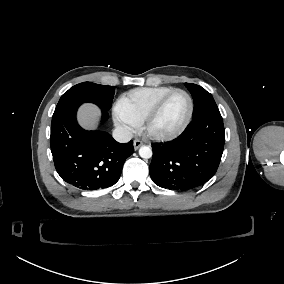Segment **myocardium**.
Listing matches in <instances>:
<instances>
[{"label":"myocardium","mask_w":284,"mask_h":284,"mask_svg":"<svg viewBox=\"0 0 284 284\" xmlns=\"http://www.w3.org/2000/svg\"><path fill=\"white\" fill-rule=\"evenodd\" d=\"M176 92L184 93L186 95L187 99H188V102H189V111H188V115H187L184 123L176 131H174L170 134H166V135L153 134L150 131L151 121L161 111V109L163 108L167 99ZM193 114H194V101H193L192 96L185 89L175 88V89L169 91L168 93H166L165 95H163L152 107L149 108V110L146 112L144 117L140 120V126H141L144 134L150 139H153V140H156V141H171L173 139H176L178 136H180L186 130V128L189 126V124L192 120Z\"/></svg>","instance_id":"obj_1"}]
</instances>
